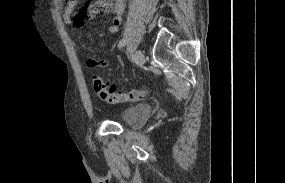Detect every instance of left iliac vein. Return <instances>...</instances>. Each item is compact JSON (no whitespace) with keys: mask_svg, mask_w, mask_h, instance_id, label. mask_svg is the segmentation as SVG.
<instances>
[{"mask_svg":"<svg viewBox=\"0 0 285 183\" xmlns=\"http://www.w3.org/2000/svg\"><path fill=\"white\" fill-rule=\"evenodd\" d=\"M134 60L137 63V65L142 66L144 64L145 58L144 54L141 50H137L134 54Z\"/></svg>","mask_w":285,"mask_h":183,"instance_id":"obj_1","label":"left iliac vein"}]
</instances>
